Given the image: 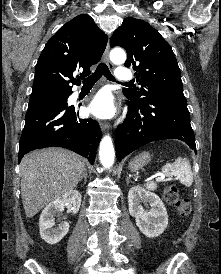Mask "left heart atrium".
<instances>
[{
	"instance_id": "obj_1",
	"label": "left heart atrium",
	"mask_w": 221,
	"mask_h": 274,
	"mask_svg": "<svg viewBox=\"0 0 221 274\" xmlns=\"http://www.w3.org/2000/svg\"><path fill=\"white\" fill-rule=\"evenodd\" d=\"M116 107L109 92H99L91 101L88 112L97 118H110L114 115Z\"/></svg>"
}]
</instances>
